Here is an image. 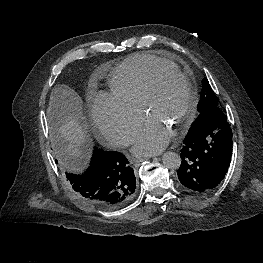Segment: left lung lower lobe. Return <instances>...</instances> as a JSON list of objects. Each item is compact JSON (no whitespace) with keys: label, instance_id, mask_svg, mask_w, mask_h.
<instances>
[{"label":"left lung lower lobe","instance_id":"left-lung-lower-lobe-1","mask_svg":"<svg viewBox=\"0 0 263 263\" xmlns=\"http://www.w3.org/2000/svg\"><path fill=\"white\" fill-rule=\"evenodd\" d=\"M232 130L218 109L194 132H188L181 148L179 181L189 190L208 192L223 180L232 156Z\"/></svg>","mask_w":263,"mask_h":263}]
</instances>
